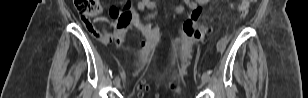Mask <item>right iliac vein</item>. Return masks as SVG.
<instances>
[{
  "label": "right iliac vein",
  "instance_id": "63e3f726",
  "mask_svg": "<svg viewBox=\"0 0 308 98\" xmlns=\"http://www.w3.org/2000/svg\"><path fill=\"white\" fill-rule=\"evenodd\" d=\"M115 86L118 87V88L120 87V79L115 81Z\"/></svg>",
  "mask_w": 308,
  "mask_h": 98
}]
</instances>
